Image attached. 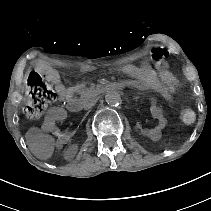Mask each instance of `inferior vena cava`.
Here are the masks:
<instances>
[{
    "label": "inferior vena cava",
    "mask_w": 211,
    "mask_h": 211,
    "mask_svg": "<svg viewBox=\"0 0 211 211\" xmlns=\"http://www.w3.org/2000/svg\"><path fill=\"white\" fill-rule=\"evenodd\" d=\"M93 106H94V104H88L85 108H91Z\"/></svg>",
    "instance_id": "inferior-vena-cava-1"
}]
</instances>
